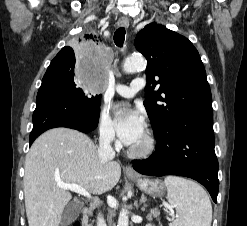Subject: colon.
Instances as JSON below:
<instances>
[{
	"instance_id": "obj_1",
	"label": "colon",
	"mask_w": 247,
	"mask_h": 226,
	"mask_svg": "<svg viewBox=\"0 0 247 226\" xmlns=\"http://www.w3.org/2000/svg\"><path fill=\"white\" fill-rule=\"evenodd\" d=\"M72 226H80V223L76 221L75 223L72 224Z\"/></svg>"
}]
</instances>
